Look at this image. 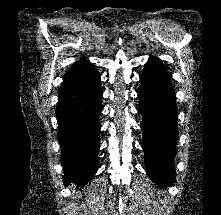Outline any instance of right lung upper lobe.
Instances as JSON below:
<instances>
[{"mask_svg":"<svg viewBox=\"0 0 221 215\" xmlns=\"http://www.w3.org/2000/svg\"><path fill=\"white\" fill-rule=\"evenodd\" d=\"M92 69L94 68L89 61L86 60L77 61L67 72L65 80L83 74L85 72H88Z\"/></svg>","mask_w":221,"mask_h":215,"instance_id":"1","label":"right lung upper lobe"}]
</instances>
